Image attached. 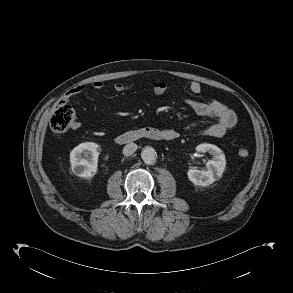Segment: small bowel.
<instances>
[{"mask_svg":"<svg viewBox=\"0 0 293 293\" xmlns=\"http://www.w3.org/2000/svg\"><path fill=\"white\" fill-rule=\"evenodd\" d=\"M93 90H102L104 83L101 81H95L91 84ZM130 88L129 85L116 83L113 85V89L116 92H123ZM85 90V86L78 85L70 89L64 95L62 101L67 102L72 97L79 95ZM151 90L155 95H162L167 90V84L162 81H154L151 84ZM189 90L194 95L201 93L202 87L198 82H191L189 84ZM187 106L194 111L197 115L214 119V122L202 130V134L211 137H223L228 131L233 129L237 123V116L233 110L227 107L216 99H211L208 102H201L195 99H186ZM79 123L75 122L73 128H79ZM172 139L179 136V133L173 129L164 130Z\"/></svg>","mask_w":293,"mask_h":293,"instance_id":"obj_1","label":"small bowel"}]
</instances>
